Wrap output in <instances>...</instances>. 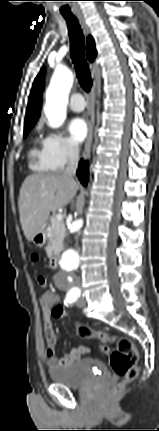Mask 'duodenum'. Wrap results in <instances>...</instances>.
Instances as JSON below:
<instances>
[{
    "label": "duodenum",
    "instance_id": "duodenum-1",
    "mask_svg": "<svg viewBox=\"0 0 159 431\" xmlns=\"http://www.w3.org/2000/svg\"><path fill=\"white\" fill-rule=\"evenodd\" d=\"M59 266V256L58 255H53L50 258V267L52 269H56ZM63 289H65V287H63Z\"/></svg>",
    "mask_w": 159,
    "mask_h": 431
}]
</instances>
